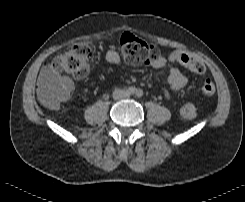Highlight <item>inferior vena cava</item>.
I'll use <instances>...</instances> for the list:
<instances>
[{
	"label": "inferior vena cava",
	"mask_w": 245,
	"mask_h": 202,
	"mask_svg": "<svg viewBox=\"0 0 245 202\" xmlns=\"http://www.w3.org/2000/svg\"><path fill=\"white\" fill-rule=\"evenodd\" d=\"M128 94L125 90H121V89H115L113 92V98L115 100H119V99H123L125 97H127Z\"/></svg>",
	"instance_id": "602c4592"
}]
</instances>
